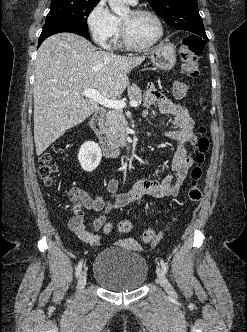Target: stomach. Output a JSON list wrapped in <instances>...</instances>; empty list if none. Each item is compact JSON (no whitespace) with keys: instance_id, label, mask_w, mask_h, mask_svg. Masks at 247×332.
I'll return each instance as SVG.
<instances>
[{"instance_id":"obj_1","label":"stomach","mask_w":247,"mask_h":332,"mask_svg":"<svg viewBox=\"0 0 247 332\" xmlns=\"http://www.w3.org/2000/svg\"><path fill=\"white\" fill-rule=\"evenodd\" d=\"M151 62L159 69L170 70L176 63L175 46L171 44L160 45L152 51Z\"/></svg>"}]
</instances>
